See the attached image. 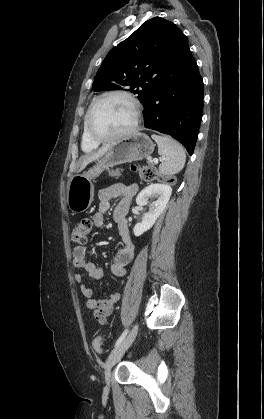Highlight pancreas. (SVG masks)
I'll return each mask as SVG.
<instances>
[{
    "mask_svg": "<svg viewBox=\"0 0 264 419\" xmlns=\"http://www.w3.org/2000/svg\"><path fill=\"white\" fill-rule=\"evenodd\" d=\"M121 169L117 168L116 170H109V176L119 178L121 176Z\"/></svg>",
    "mask_w": 264,
    "mask_h": 419,
    "instance_id": "pancreas-1",
    "label": "pancreas"
}]
</instances>
